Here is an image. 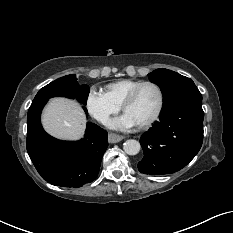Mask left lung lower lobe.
<instances>
[{
	"mask_svg": "<svg viewBox=\"0 0 233 233\" xmlns=\"http://www.w3.org/2000/svg\"><path fill=\"white\" fill-rule=\"evenodd\" d=\"M202 99L182 101L162 111L160 120L140 138L144 151L138 169L149 175L179 171L198 153L203 141Z\"/></svg>",
	"mask_w": 233,
	"mask_h": 233,
	"instance_id": "0a47b994",
	"label": "left lung lower lobe"
}]
</instances>
